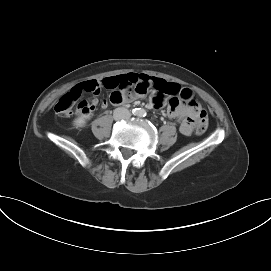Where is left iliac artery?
I'll return each mask as SVG.
<instances>
[{
    "mask_svg": "<svg viewBox=\"0 0 271 271\" xmlns=\"http://www.w3.org/2000/svg\"><path fill=\"white\" fill-rule=\"evenodd\" d=\"M140 117H145L146 116V111L144 109H140L139 114Z\"/></svg>",
    "mask_w": 271,
    "mask_h": 271,
    "instance_id": "44dca946",
    "label": "left iliac artery"
}]
</instances>
